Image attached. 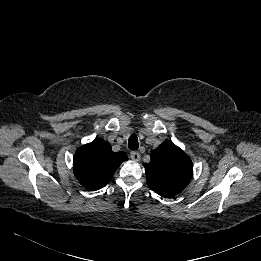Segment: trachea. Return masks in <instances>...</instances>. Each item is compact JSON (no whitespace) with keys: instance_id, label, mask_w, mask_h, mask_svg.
I'll use <instances>...</instances> for the list:
<instances>
[{"instance_id":"trachea-1","label":"trachea","mask_w":261,"mask_h":261,"mask_svg":"<svg viewBox=\"0 0 261 261\" xmlns=\"http://www.w3.org/2000/svg\"><path fill=\"white\" fill-rule=\"evenodd\" d=\"M128 147L131 150H137L139 147L138 138L135 134H132L128 140Z\"/></svg>"}]
</instances>
